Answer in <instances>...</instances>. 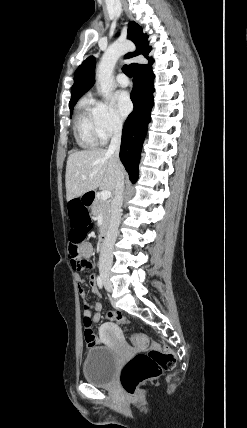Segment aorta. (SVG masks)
Wrapping results in <instances>:
<instances>
[{
	"label": "aorta",
	"mask_w": 247,
	"mask_h": 428,
	"mask_svg": "<svg viewBox=\"0 0 247 428\" xmlns=\"http://www.w3.org/2000/svg\"><path fill=\"white\" fill-rule=\"evenodd\" d=\"M121 54L122 52L115 47L108 48L103 54L97 67L96 78L100 93L103 96L107 93L114 67Z\"/></svg>",
	"instance_id": "762f6f07"
}]
</instances>
